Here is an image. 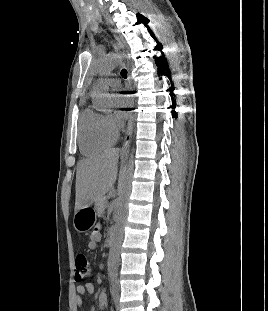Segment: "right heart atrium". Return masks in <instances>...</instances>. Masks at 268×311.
I'll return each mask as SVG.
<instances>
[{
	"mask_svg": "<svg viewBox=\"0 0 268 311\" xmlns=\"http://www.w3.org/2000/svg\"><path fill=\"white\" fill-rule=\"evenodd\" d=\"M107 120L109 125L117 131V129L119 128V122L117 121V119L113 115H108Z\"/></svg>",
	"mask_w": 268,
	"mask_h": 311,
	"instance_id": "obj_1",
	"label": "right heart atrium"
}]
</instances>
